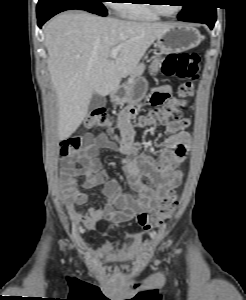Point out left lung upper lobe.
<instances>
[{"label":"left lung upper lobe","instance_id":"left-lung-upper-lobe-1","mask_svg":"<svg viewBox=\"0 0 246 300\" xmlns=\"http://www.w3.org/2000/svg\"><path fill=\"white\" fill-rule=\"evenodd\" d=\"M187 5L183 6L179 16L189 15L207 5H210L211 0H187Z\"/></svg>","mask_w":246,"mask_h":300}]
</instances>
